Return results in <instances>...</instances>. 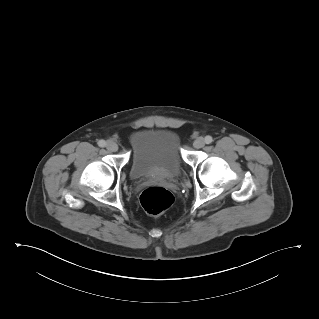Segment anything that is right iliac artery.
Masks as SVG:
<instances>
[{
    "label": "right iliac artery",
    "mask_w": 319,
    "mask_h": 319,
    "mask_svg": "<svg viewBox=\"0 0 319 319\" xmlns=\"http://www.w3.org/2000/svg\"><path fill=\"white\" fill-rule=\"evenodd\" d=\"M98 145H99L100 147H105V146H106V142H105L104 140H100V141L98 142Z\"/></svg>",
    "instance_id": "right-iliac-artery-1"
}]
</instances>
